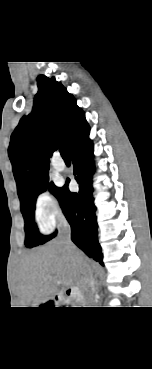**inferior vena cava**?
<instances>
[{"label":"inferior vena cava","mask_w":152,"mask_h":369,"mask_svg":"<svg viewBox=\"0 0 152 369\" xmlns=\"http://www.w3.org/2000/svg\"><path fill=\"white\" fill-rule=\"evenodd\" d=\"M58 240L64 245L65 250L75 258L81 268V280L79 289L85 307H94V279L89 266L83 261L82 257L76 253V247L71 241V228L65 218L59 219Z\"/></svg>","instance_id":"inferior-vena-cava-1"}]
</instances>
